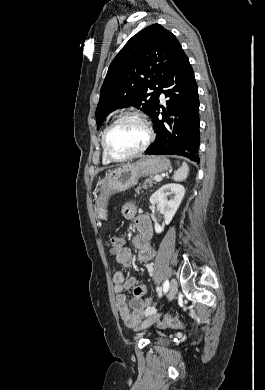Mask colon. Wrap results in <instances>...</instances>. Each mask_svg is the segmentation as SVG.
<instances>
[{
    "label": "colon",
    "mask_w": 265,
    "mask_h": 390,
    "mask_svg": "<svg viewBox=\"0 0 265 390\" xmlns=\"http://www.w3.org/2000/svg\"><path fill=\"white\" fill-rule=\"evenodd\" d=\"M106 244L109 247L110 251L114 254V252L118 248V237L114 234L108 235L106 238ZM144 303H145V308L148 312H154L158 309V304L150 298L146 297L144 299ZM163 325H166L174 329L185 328V324L183 322L169 315H164Z\"/></svg>",
    "instance_id": "1"
}]
</instances>
